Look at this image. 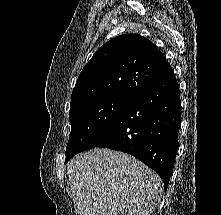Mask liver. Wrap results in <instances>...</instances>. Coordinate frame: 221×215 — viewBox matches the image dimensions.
Instances as JSON below:
<instances>
[{"mask_svg":"<svg viewBox=\"0 0 221 215\" xmlns=\"http://www.w3.org/2000/svg\"><path fill=\"white\" fill-rule=\"evenodd\" d=\"M77 215H150L163 191L161 178L129 154L95 148L67 165Z\"/></svg>","mask_w":221,"mask_h":215,"instance_id":"1","label":"liver"}]
</instances>
